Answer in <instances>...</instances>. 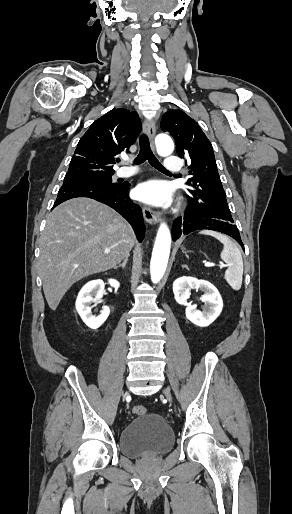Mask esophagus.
Masks as SVG:
<instances>
[{
    "label": "esophagus",
    "instance_id": "1",
    "mask_svg": "<svg viewBox=\"0 0 292 514\" xmlns=\"http://www.w3.org/2000/svg\"><path fill=\"white\" fill-rule=\"evenodd\" d=\"M143 129H144V132L148 135V137L150 139L151 147L154 149L155 148L154 138H155V134H156L155 123L152 121L145 120L143 123ZM142 213H143V216H144L146 222H148V224H157V222H159V220H160V214L158 212H155L154 210L150 209L149 207H143Z\"/></svg>",
    "mask_w": 292,
    "mask_h": 514
}]
</instances>
